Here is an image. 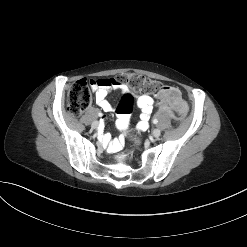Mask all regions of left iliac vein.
<instances>
[{
	"instance_id": "left-iliac-vein-1",
	"label": "left iliac vein",
	"mask_w": 247,
	"mask_h": 247,
	"mask_svg": "<svg viewBox=\"0 0 247 247\" xmlns=\"http://www.w3.org/2000/svg\"><path fill=\"white\" fill-rule=\"evenodd\" d=\"M152 135L157 138L161 135V131L158 128H156L152 131Z\"/></svg>"
}]
</instances>
